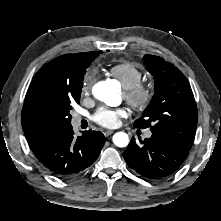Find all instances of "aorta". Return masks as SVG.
I'll list each match as a JSON object with an SVG mask.
<instances>
[{
  "label": "aorta",
  "mask_w": 221,
  "mask_h": 221,
  "mask_svg": "<svg viewBox=\"0 0 221 221\" xmlns=\"http://www.w3.org/2000/svg\"><path fill=\"white\" fill-rule=\"evenodd\" d=\"M92 93L95 98L109 106H115L119 103L118 89L110 81L96 83ZM113 143L118 147H126L129 144V137L125 132H117L113 135Z\"/></svg>",
  "instance_id": "762f6f07"
}]
</instances>
